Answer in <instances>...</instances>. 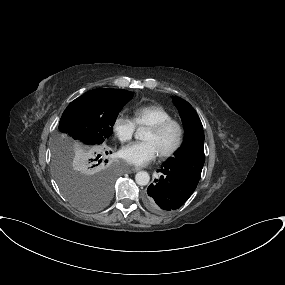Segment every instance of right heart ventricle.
I'll list each match as a JSON object with an SVG mask.
<instances>
[{"mask_svg":"<svg viewBox=\"0 0 285 285\" xmlns=\"http://www.w3.org/2000/svg\"><path fill=\"white\" fill-rule=\"evenodd\" d=\"M134 121L139 126H152L172 118L171 114L160 105L150 104L137 107L133 111Z\"/></svg>","mask_w":285,"mask_h":285,"instance_id":"1","label":"right heart ventricle"}]
</instances>
